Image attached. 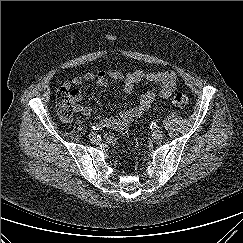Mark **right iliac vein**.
<instances>
[{
  "label": "right iliac vein",
  "mask_w": 243,
  "mask_h": 243,
  "mask_svg": "<svg viewBox=\"0 0 243 243\" xmlns=\"http://www.w3.org/2000/svg\"><path fill=\"white\" fill-rule=\"evenodd\" d=\"M89 139L92 141V142H96L97 141V136L95 133H90L88 135Z\"/></svg>",
  "instance_id": "63e3f726"
}]
</instances>
